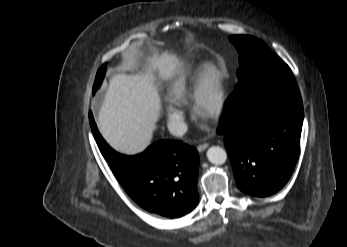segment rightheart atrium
Returning a JSON list of instances; mask_svg holds the SVG:
<instances>
[{
    "label": "right heart atrium",
    "mask_w": 347,
    "mask_h": 247,
    "mask_svg": "<svg viewBox=\"0 0 347 247\" xmlns=\"http://www.w3.org/2000/svg\"><path fill=\"white\" fill-rule=\"evenodd\" d=\"M165 115L169 124L175 129L180 130L184 122V113L176 103H170L165 108Z\"/></svg>",
    "instance_id": "right-heart-atrium-1"
}]
</instances>
